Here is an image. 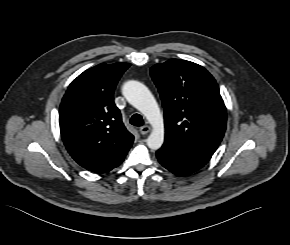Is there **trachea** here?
Returning <instances> with one entry per match:
<instances>
[{
    "label": "trachea",
    "instance_id": "1",
    "mask_svg": "<svg viewBox=\"0 0 290 245\" xmlns=\"http://www.w3.org/2000/svg\"><path fill=\"white\" fill-rule=\"evenodd\" d=\"M130 123L134 126H142L144 121L141 115L134 114L130 119Z\"/></svg>",
    "mask_w": 290,
    "mask_h": 245
}]
</instances>
